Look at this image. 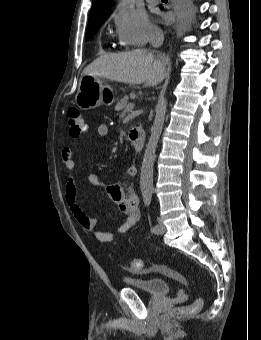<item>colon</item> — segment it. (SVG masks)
<instances>
[{"label":"colon","instance_id":"5ec220e1","mask_svg":"<svg viewBox=\"0 0 261 340\" xmlns=\"http://www.w3.org/2000/svg\"><path fill=\"white\" fill-rule=\"evenodd\" d=\"M67 123L69 133L72 137H79L85 131V121L82 114L76 108H70L67 113ZM142 260L133 258L129 262V268L132 271H139L142 268ZM203 306V299L198 298L193 303L183 307H177L173 310L176 315L192 314L198 312Z\"/></svg>","mask_w":261,"mask_h":340}]
</instances>
